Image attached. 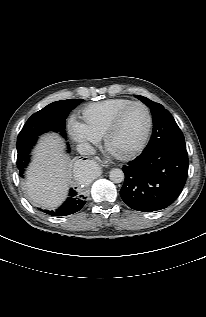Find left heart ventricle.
I'll return each mask as SVG.
<instances>
[{
  "mask_svg": "<svg viewBox=\"0 0 206 317\" xmlns=\"http://www.w3.org/2000/svg\"><path fill=\"white\" fill-rule=\"evenodd\" d=\"M147 127L146 111L141 106L128 110L121 120L117 130L110 139V146L116 152H127L137 147L145 134Z\"/></svg>",
  "mask_w": 206,
  "mask_h": 317,
  "instance_id": "obj_1",
  "label": "left heart ventricle"
}]
</instances>
